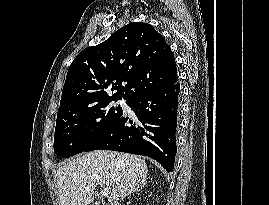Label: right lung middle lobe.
<instances>
[{
  "instance_id": "1",
  "label": "right lung middle lobe",
  "mask_w": 269,
  "mask_h": 205,
  "mask_svg": "<svg viewBox=\"0 0 269 205\" xmlns=\"http://www.w3.org/2000/svg\"><path fill=\"white\" fill-rule=\"evenodd\" d=\"M100 102L76 113L57 118L54 152L60 158L83 152L108 126L122 114V108ZM117 101V100H114Z\"/></svg>"
}]
</instances>
